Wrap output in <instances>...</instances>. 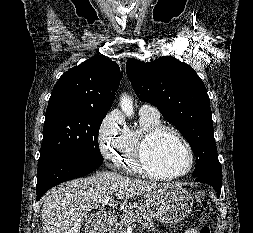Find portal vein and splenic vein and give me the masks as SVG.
<instances>
[{"instance_id":"18ae733b","label":"portal vein and splenic vein","mask_w":253,"mask_h":233,"mask_svg":"<svg viewBox=\"0 0 253 233\" xmlns=\"http://www.w3.org/2000/svg\"><path fill=\"white\" fill-rule=\"evenodd\" d=\"M109 201H110V197H106V198H104V199L101 201L102 206H105L106 204H108V203H109Z\"/></svg>"}]
</instances>
